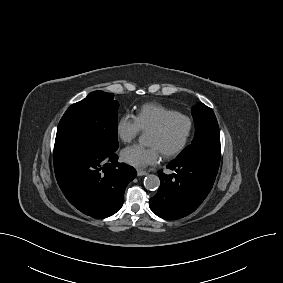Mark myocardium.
<instances>
[{"mask_svg": "<svg viewBox=\"0 0 283 283\" xmlns=\"http://www.w3.org/2000/svg\"><path fill=\"white\" fill-rule=\"evenodd\" d=\"M176 119H182L187 123V132L184 139L177 147H175L170 151L162 153L165 157L168 158L179 155L188 145L193 133V121L191 117L186 114L177 112L172 115H169L160 124H158L156 127L150 130V132H155L158 134L164 133L167 130V128L170 126V124Z\"/></svg>", "mask_w": 283, "mask_h": 283, "instance_id": "f54148a6", "label": "myocardium"}]
</instances>
